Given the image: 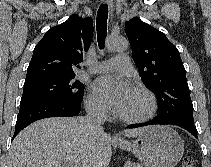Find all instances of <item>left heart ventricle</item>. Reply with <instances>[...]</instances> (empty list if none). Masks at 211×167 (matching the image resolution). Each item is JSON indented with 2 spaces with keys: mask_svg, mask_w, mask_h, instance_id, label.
I'll return each mask as SVG.
<instances>
[{
  "mask_svg": "<svg viewBox=\"0 0 211 167\" xmlns=\"http://www.w3.org/2000/svg\"><path fill=\"white\" fill-rule=\"evenodd\" d=\"M148 105L144 96L132 91L131 96L121 115L128 117L142 116L147 112Z\"/></svg>",
  "mask_w": 211,
  "mask_h": 167,
  "instance_id": "left-heart-ventricle-1",
  "label": "left heart ventricle"
}]
</instances>
